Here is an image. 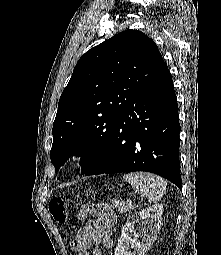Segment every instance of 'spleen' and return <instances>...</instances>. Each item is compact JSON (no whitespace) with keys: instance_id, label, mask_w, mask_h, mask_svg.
<instances>
[{"instance_id":"3e777b00","label":"spleen","mask_w":221,"mask_h":255,"mask_svg":"<svg viewBox=\"0 0 221 255\" xmlns=\"http://www.w3.org/2000/svg\"><path fill=\"white\" fill-rule=\"evenodd\" d=\"M134 191L146 196L149 203L158 202L167 188V181L151 173L133 172L123 176Z\"/></svg>"}]
</instances>
